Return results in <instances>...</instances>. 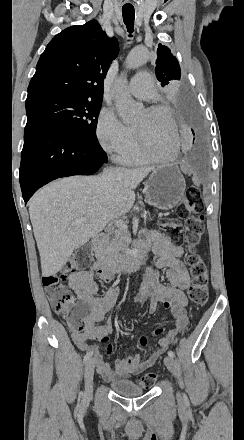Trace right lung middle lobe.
<instances>
[{"label": "right lung middle lobe", "mask_w": 244, "mask_h": 440, "mask_svg": "<svg viewBox=\"0 0 244 440\" xmlns=\"http://www.w3.org/2000/svg\"><path fill=\"white\" fill-rule=\"evenodd\" d=\"M102 99L44 96L26 100L27 124H46L96 141Z\"/></svg>", "instance_id": "dd1d6c3e"}]
</instances>
